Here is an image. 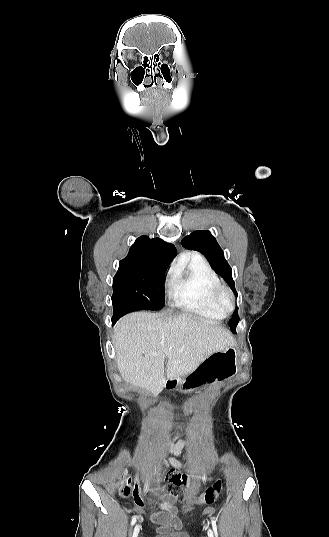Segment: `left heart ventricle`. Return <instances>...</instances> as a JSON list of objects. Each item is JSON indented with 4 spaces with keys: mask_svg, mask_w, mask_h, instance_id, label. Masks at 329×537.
I'll return each instance as SVG.
<instances>
[{
    "mask_svg": "<svg viewBox=\"0 0 329 537\" xmlns=\"http://www.w3.org/2000/svg\"><path fill=\"white\" fill-rule=\"evenodd\" d=\"M222 300H223V304H224L226 307H229V306H230L231 301H230V299H229V297H228L227 295H224Z\"/></svg>",
    "mask_w": 329,
    "mask_h": 537,
    "instance_id": "left-heart-ventricle-1",
    "label": "left heart ventricle"
}]
</instances>
